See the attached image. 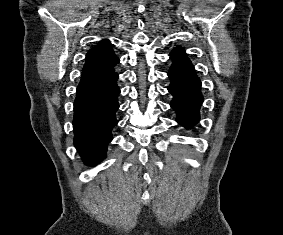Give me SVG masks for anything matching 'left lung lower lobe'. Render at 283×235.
<instances>
[{"label": "left lung lower lobe", "mask_w": 283, "mask_h": 235, "mask_svg": "<svg viewBox=\"0 0 283 235\" xmlns=\"http://www.w3.org/2000/svg\"><path fill=\"white\" fill-rule=\"evenodd\" d=\"M168 76L171 80L168 90L174 97L170 105L177 112V122L190 128L199 120L203 101L201 82L190 62L174 61Z\"/></svg>", "instance_id": "1"}]
</instances>
